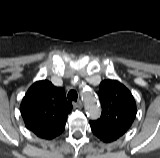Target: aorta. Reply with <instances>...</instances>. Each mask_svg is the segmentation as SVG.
<instances>
[{
    "instance_id": "1",
    "label": "aorta",
    "mask_w": 160,
    "mask_h": 158,
    "mask_svg": "<svg viewBox=\"0 0 160 158\" xmlns=\"http://www.w3.org/2000/svg\"><path fill=\"white\" fill-rule=\"evenodd\" d=\"M82 97L88 116L91 119H98L101 114V109L96 96L91 91H83Z\"/></svg>"
}]
</instances>
